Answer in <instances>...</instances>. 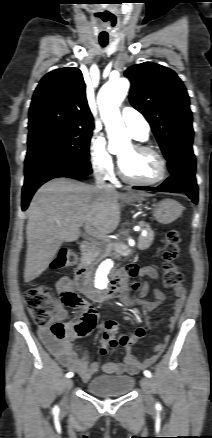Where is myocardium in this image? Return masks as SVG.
Wrapping results in <instances>:
<instances>
[{"instance_id": "f54148a6", "label": "myocardium", "mask_w": 212, "mask_h": 438, "mask_svg": "<svg viewBox=\"0 0 212 438\" xmlns=\"http://www.w3.org/2000/svg\"><path fill=\"white\" fill-rule=\"evenodd\" d=\"M133 148L137 151L140 152H146V153H150L152 155H154L159 162V167H160V172L159 175L153 179V180H149V181H138V180H134L132 178H130L123 170L122 165H121V161L119 164V175L121 177V179L131 185H135V186H153L156 184L161 183L163 180H165L166 176H167V163L165 158L163 157V155L157 151L156 149L144 145V144H140V143H136L133 145Z\"/></svg>"}]
</instances>
